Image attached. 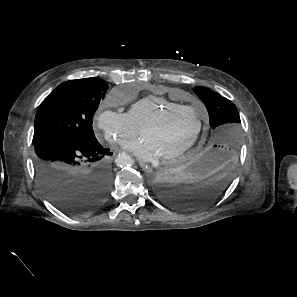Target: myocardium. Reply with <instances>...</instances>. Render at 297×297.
<instances>
[{
  "label": "myocardium",
  "instance_id": "myocardium-1",
  "mask_svg": "<svg viewBox=\"0 0 297 297\" xmlns=\"http://www.w3.org/2000/svg\"><path fill=\"white\" fill-rule=\"evenodd\" d=\"M181 110H191L195 113L196 119H197V126L192 134V136L189 138V140L182 145L177 150L170 152L164 156H162L164 161L174 160L182 156L184 153H186L199 139L202 129H203V116L201 111H199V108L192 105H174L169 106L166 108L161 109L157 113H155L153 116H151L142 126V128L150 127L158 122H160L165 116Z\"/></svg>",
  "mask_w": 297,
  "mask_h": 297
}]
</instances>
